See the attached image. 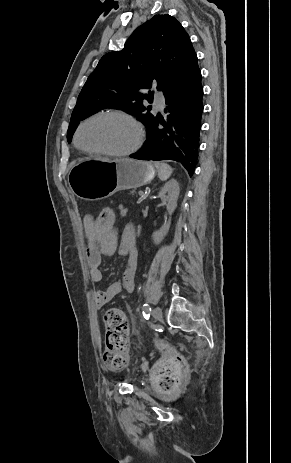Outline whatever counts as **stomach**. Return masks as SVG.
<instances>
[{
	"label": "stomach",
	"mask_w": 291,
	"mask_h": 463,
	"mask_svg": "<svg viewBox=\"0 0 291 463\" xmlns=\"http://www.w3.org/2000/svg\"><path fill=\"white\" fill-rule=\"evenodd\" d=\"M154 176L155 169L148 162L92 157L70 165L68 184L77 197L94 201L133 186H143Z\"/></svg>",
	"instance_id": "0dacf381"
}]
</instances>
